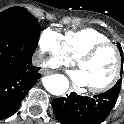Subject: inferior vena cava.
I'll return each instance as SVG.
<instances>
[{
    "instance_id": "602c4592",
    "label": "inferior vena cava",
    "mask_w": 124,
    "mask_h": 124,
    "mask_svg": "<svg viewBox=\"0 0 124 124\" xmlns=\"http://www.w3.org/2000/svg\"><path fill=\"white\" fill-rule=\"evenodd\" d=\"M33 64L36 65V66H43L44 64V59L43 57L40 55V54H36L34 57H33Z\"/></svg>"
}]
</instances>
